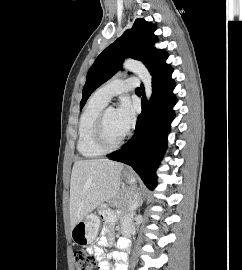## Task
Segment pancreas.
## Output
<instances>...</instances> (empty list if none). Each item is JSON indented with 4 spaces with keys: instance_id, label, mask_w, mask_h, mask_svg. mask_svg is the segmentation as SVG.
I'll list each match as a JSON object with an SVG mask.
<instances>
[{
    "instance_id": "pancreas-1",
    "label": "pancreas",
    "mask_w": 242,
    "mask_h": 270,
    "mask_svg": "<svg viewBox=\"0 0 242 270\" xmlns=\"http://www.w3.org/2000/svg\"><path fill=\"white\" fill-rule=\"evenodd\" d=\"M136 195L130 189H125L113 202L112 205H115L120 210H127L135 202Z\"/></svg>"
}]
</instances>
